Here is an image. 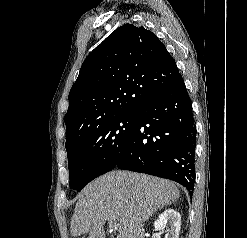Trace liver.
I'll list each match as a JSON object with an SVG mask.
<instances>
[{
    "mask_svg": "<svg viewBox=\"0 0 247 238\" xmlns=\"http://www.w3.org/2000/svg\"><path fill=\"white\" fill-rule=\"evenodd\" d=\"M179 198V189L168 180L111 171L90 182L80 193L71 219L74 238H105L106 221L120 224L117 238H143V224L152 214Z\"/></svg>",
    "mask_w": 247,
    "mask_h": 238,
    "instance_id": "6515ba94",
    "label": "liver"
}]
</instances>
